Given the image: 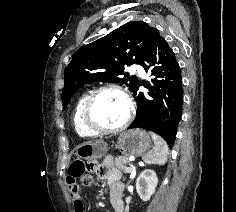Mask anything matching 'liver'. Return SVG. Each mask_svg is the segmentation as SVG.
<instances>
[{
  "mask_svg": "<svg viewBox=\"0 0 236 212\" xmlns=\"http://www.w3.org/2000/svg\"><path fill=\"white\" fill-rule=\"evenodd\" d=\"M97 143L103 142V141H96Z\"/></svg>",
  "mask_w": 236,
  "mask_h": 212,
  "instance_id": "1",
  "label": "liver"
}]
</instances>
